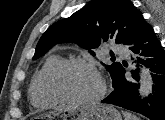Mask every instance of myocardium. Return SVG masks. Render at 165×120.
Returning <instances> with one entry per match:
<instances>
[{"instance_id":"f54148a6","label":"myocardium","mask_w":165,"mask_h":120,"mask_svg":"<svg viewBox=\"0 0 165 120\" xmlns=\"http://www.w3.org/2000/svg\"><path fill=\"white\" fill-rule=\"evenodd\" d=\"M76 65L86 67L92 70L97 75V77L100 80L101 87L96 95L89 98L74 99V98H69L60 92L56 84L57 77L64 69ZM46 88L49 94L58 102H65V103L77 104V105H87V104H94L100 101L104 97L107 90V84L101 72L92 62L82 58H67L58 61L54 65V67L50 70L46 79Z\"/></svg>"}]
</instances>
